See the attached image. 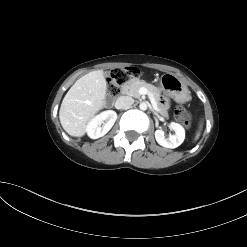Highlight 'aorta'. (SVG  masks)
<instances>
[{
  "label": "aorta",
  "mask_w": 247,
  "mask_h": 247,
  "mask_svg": "<svg viewBox=\"0 0 247 247\" xmlns=\"http://www.w3.org/2000/svg\"><path fill=\"white\" fill-rule=\"evenodd\" d=\"M139 108H140L142 111L147 110V108H148L147 103H146V102H141L140 105H139Z\"/></svg>",
  "instance_id": "obj_1"
}]
</instances>
